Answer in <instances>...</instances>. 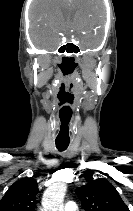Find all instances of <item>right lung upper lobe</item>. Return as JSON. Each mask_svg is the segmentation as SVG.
I'll return each mask as SVG.
<instances>
[{
	"instance_id": "1",
	"label": "right lung upper lobe",
	"mask_w": 133,
	"mask_h": 211,
	"mask_svg": "<svg viewBox=\"0 0 133 211\" xmlns=\"http://www.w3.org/2000/svg\"><path fill=\"white\" fill-rule=\"evenodd\" d=\"M38 184L32 177L23 178L11 185L0 200V211H34Z\"/></svg>"
}]
</instances>
